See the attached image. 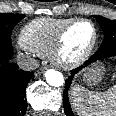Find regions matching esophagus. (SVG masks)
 <instances>
[{"instance_id": "obj_1", "label": "esophagus", "mask_w": 116, "mask_h": 116, "mask_svg": "<svg viewBox=\"0 0 116 116\" xmlns=\"http://www.w3.org/2000/svg\"><path fill=\"white\" fill-rule=\"evenodd\" d=\"M46 69H47V67H45V66L41 67L40 69H38L37 74L38 75L42 74Z\"/></svg>"}]
</instances>
